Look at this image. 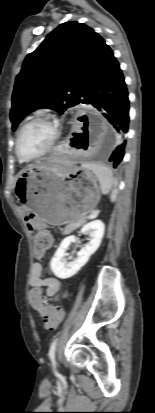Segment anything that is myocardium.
I'll use <instances>...</instances> for the list:
<instances>
[{"label": "myocardium", "instance_id": "1", "mask_svg": "<svg viewBox=\"0 0 155 413\" xmlns=\"http://www.w3.org/2000/svg\"><path fill=\"white\" fill-rule=\"evenodd\" d=\"M35 121H47L50 122L53 126H54V136L53 139L51 140L50 144L40 153L34 155V156H26L24 155L21 150H20V139H21V135L24 131V129L31 123L35 122ZM60 136V129H59V123L56 119H54L53 117L46 115V114H38L35 115L33 117H31L29 120H27L19 129L18 133H17V137H16V141H15V153L17 155V157L22 160V161H32V160H36L41 158L42 156L46 155L47 153H49L54 147L55 144L57 142V140L59 139Z\"/></svg>", "mask_w": 155, "mask_h": 413}]
</instances>
